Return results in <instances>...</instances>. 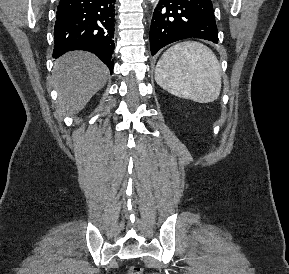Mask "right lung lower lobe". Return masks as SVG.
<instances>
[{
    "label": "right lung lower lobe",
    "instance_id": "1",
    "mask_svg": "<svg viewBox=\"0 0 289 274\" xmlns=\"http://www.w3.org/2000/svg\"><path fill=\"white\" fill-rule=\"evenodd\" d=\"M115 0H60L54 27L57 58L67 51L96 54L112 72Z\"/></svg>",
    "mask_w": 289,
    "mask_h": 274
}]
</instances>
